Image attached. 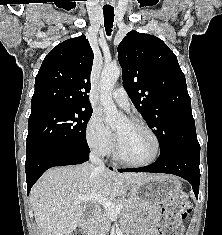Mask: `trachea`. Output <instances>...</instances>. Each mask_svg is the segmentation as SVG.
I'll return each instance as SVG.
<instances>
[{"label": "trachea", "instance_id": "obj_1", "mask_svg": "<svg viewBox=\"0 0 222 235\" xmlns=\"http://www.w3.org/2000/svg\"><path fill=\"white\" fill-rule=\"evenodd\" d=\"M103 14L106 34L110 36L114 22V8H103Z\"/></svg>", "mask_w": 222, "mask_h": 235}]
</instances>
